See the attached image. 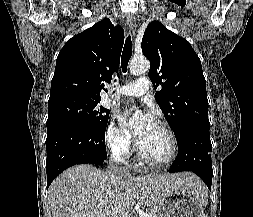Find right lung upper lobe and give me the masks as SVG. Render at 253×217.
<instances>
[{"mask_svg":"<svg viewBox=\"0 0 253 217\" xmlns=\"http://www.w3.org/2000/svg\"><path fill=\"white\" fill-rule=\"evenodd\" d=\"M123 41V28L108 18L72 37L57 57L48 103L70 97L101 99L104 82H110L119 66Z\"/></svg>","mask_w":253,"mask_h":217,"instance_id":"right-lung-upper-lobe-1","label":"right lung upper lobe"}]
</instances>
